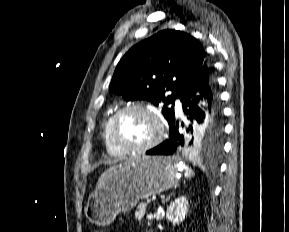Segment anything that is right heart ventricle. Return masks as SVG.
Masks as SVG:
<instances>
[{
	"mask_svg": "<svg viewBox=\"0 0 289 232\" xmlns=\"http://www.w3.org/2000/svg\"><path fill=\"white\" fill-rule=\"evenodd\" d=\"M113 115H114V113H111L105 119V121L103 123V128H102V137H103L105 148L109 154H111L113 156H123L126 153H124L119 148H117L114 145V143L110 137V124H111V120H112Z\"/></svg>",
	"mask_w": 289,
	"mask_h": 232,
	"instance_id": "right-heart-ventricle-1",
	"label": "right heart ventricle"
}]
</instances>
